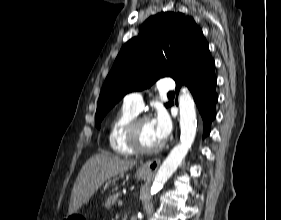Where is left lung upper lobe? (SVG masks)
<instances>
[{"mask_svg": "<svg viewBox=\"0 0 281 220\" xmlns=\"http://www.w3.org/2000/svg\"><path fill=\"white\" fill-rule=\"evenodd\" d=\"M207 50L208 43L192 17L179 12L149 17L139 34L124 44L105 79L95 115L97 128L124 95L149 88L161 77L177 81L190 62Z\"/></svg>", "mask_w": 281, "mask_h": 220, "instance_id": "obj_1", "label": "left lung upper lobe"}]
</instances>
